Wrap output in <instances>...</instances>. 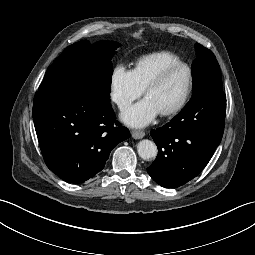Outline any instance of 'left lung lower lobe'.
Returning a JSON list of instances; mask_svg holds the SVG:
<instances>
[{
    "mask_svg": "<svg viewBox=\"0 0 255 255\" xmlns=\"http://www.w3.org/2000/svg\"><path fill=\"white\" fill-rule=\"evenodd\" d=\"M226 95L209 90L169 123L151 131L158 155L147 171L165 188L179 187L196 177L210 161L224 132Z\"/></svg>",
    "mask_w": 255,
    "mask_h": 255,
    "instance_id": "0a47b994",
    "label": "left lung lower lobe"
}]
</instances>
